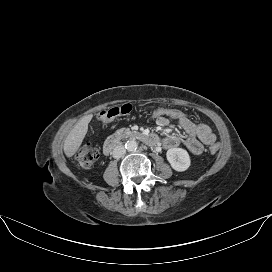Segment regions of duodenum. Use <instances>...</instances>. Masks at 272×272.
Listing matches in <instances>:
<instances>
[{"mask_svg": "<svg viewBox=\"0 0 272 272\" xmlns=\"http://www.w3.org/2000/svg\"><path fill=\"white\" fill-rule=\"evenodd\" d=\"M125 137L140 140L150 145L158 144V138L153 134L139 132V131H129V132L120 131L110 136L105 141L103 146L104 154L109 155L113 151V149L120 143V141Z\"/></svg>", "mask_w": 272, "mask_h": 272, "instance_id": "1", "label": "duodenum"}]
</instances>
